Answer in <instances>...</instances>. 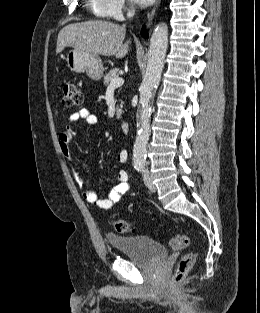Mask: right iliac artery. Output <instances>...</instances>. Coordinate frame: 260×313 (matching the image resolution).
I'll list each match as a JSON object with an SVG mask.
<instances>
[{
    "instance_id": "1",
    "label": "right iliac artery",
    "mask_w": 260,
    "mask_h": 313,
    "mask_svg": "<svg viewBox=\"0 0 260 313\" xmlns=\"http://www.w3.org/2000/svg\"><path fill=\"white\" fill-rule=\"evenodd\" d=\"M135 168L138 170L139 169V167L138 166H135Z\"/></svg>"
}]
</instances>
